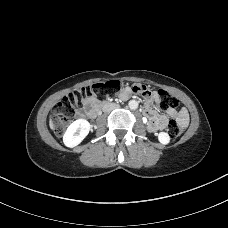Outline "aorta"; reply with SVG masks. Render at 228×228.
<instances>
[{
    "label": "aorta",
    "instance_id": "obj_1",
    "mask_svg": "<svg viewBox=\"0 0 228 228\" xmlns=\"http://www.w3.org/2000/svg\"><path fill=\"white\" fill-rule=\"evenodd\" d=\"M128 106L130 109L135 110L138 108V101L136 100H130L128 103Z\"/></svg>",
    "mask_w": 228,
    "mask_h": 228
}]
</instances>
